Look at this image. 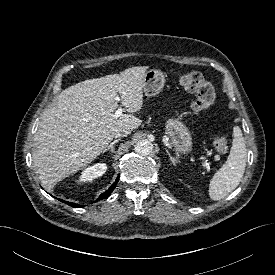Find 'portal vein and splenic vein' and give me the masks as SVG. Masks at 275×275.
<instances>
[{
    "label": "portal vein and splenic vein",
    "mask_w": 275,
    "mask_h": 275,
    "mask_svg": "<svg viewBox=\"0 0 275 275\" xmlns=\"http://www.w3.org/2000/svg\"><path fill=\"white\" fill-rule=\"evenodd\" d=\"M117 100L119 101L120 98L117 97ZM122 113H123V108H122V107H119V108L115 111L114 115H115V117H119V116L122 115ZM204 165H205L206 169H210V166H209V164H208V162H207L206 160L204 161Z\"/></svg>",
    "instance_id": "18ae733b"
}]
</instances>
